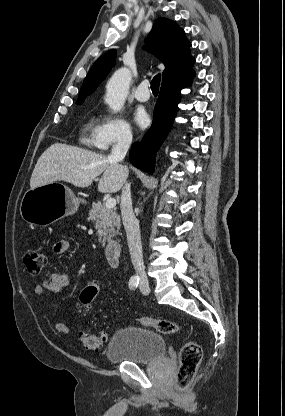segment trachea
Masks as SVG:
<instances>
[{"instance_id":"obj_1","label":"trachea","mask_w":285,"mask_h":416,"mask_svg":"<svg viewBox=\"0 0 285 416\" xmlns=\"http://www.w3.org/2000/svg\"><path fill=\"white\" fill-rule=\"evenodd\" d=\"M161 75L158 73V75L154 76L153 80L151 81V90L152 92H158L159 91V85H160Z\"/></svg>"}]
</instances>
